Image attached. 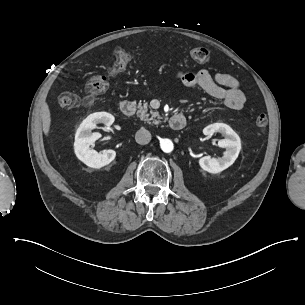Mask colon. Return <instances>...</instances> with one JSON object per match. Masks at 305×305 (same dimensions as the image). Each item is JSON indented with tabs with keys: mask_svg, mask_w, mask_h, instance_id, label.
<instances>
[{
	"mask_svg": "<svg viewBox=\"0 0 305 305\" xmlns=\"http://www.w3.org/2000/svg\"><path fill=\"white\" fill-rule=\"evenodd\" d=\"M189 55L201 64H213L209 51L204 47H194L189 50ZM134 56L133 49L120 50L112 59V66L101 73L93 74L89 77L85 85L84 97H78L70 91H64L58 96V102L62 107L74 108L80 105H90L98 95L108 90L107 74H117L127 68ZM268 118L261 113L256 118V126L263 133L267 127Z\"/></svg>",
	"mask_w": 305,
	"mask_h": 305,
	"instance_id": "1",
	"label": "colon"
}]
</instances>
